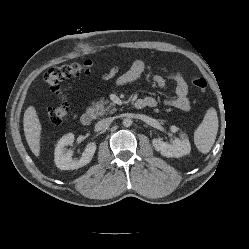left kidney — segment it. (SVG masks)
<instances>
[{
  "instance_id": "obj_1",
  "label": "left kidney",
  "mask_w": 249,
  "mask_h": 249,
  "mask_svg": "<svg viewBox=\"0 0 249 249\" xmlns=\"http://www.w3.org/2000/svg\"><path fill=\"white\" fill-rule=\"evenodd\" d=\"M170 130L175 133L179 130V128L172 125L170 127ZM152 144L156 151L160 152L162 156H165L167 158L182 157L189 154L191 151L190 142L184 134L181 135L180 139L176 138L175 140H173L172 144L163 142L160 139H153Z\"/></svg>"
}]
</instances>
